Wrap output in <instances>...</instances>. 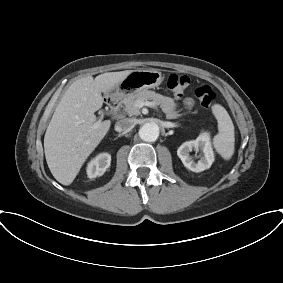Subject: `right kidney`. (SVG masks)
Segmentation results:
<instances>
[{"label": "right kidney", "instance_id": "1", "mask_svg": "<svg viewBox=\"0 0 283 283\" xmlns=\"http://www.w3.org/2000/svg\"><path fill=\"white\" fill-rule=\"evenodd\" d=\"M111 155L108 153H101L92 159L87 166V175L89 178H96L104 174L106 169L110 166Z\"/></svg>", "mask_w": 283, "mask_h": 283}]
</instances>
